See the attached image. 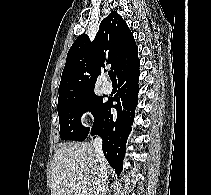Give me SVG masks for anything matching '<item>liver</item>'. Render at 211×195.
<instances>
[{
  "label": "liver",
  "instance_id": "1",
  "mask_svg": "<svg viewBox=\"0 0 211 195\" xmlns=\"http://www.w3.org/2000/svg\"><path fill=\"white\" fill-rule=\"evenodd\" d=\"M98 174L99 164L91 143L61 144L53 157L51 195H82L83 191L94 195Z\"/></svg>",
  "mask_w": 211,
  "mask_h": 195
}]
</instances>
